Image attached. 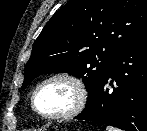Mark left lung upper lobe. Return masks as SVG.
<instances>
[{
  "instance_id": "1",
  "label": "left lung upper lobe",
  "mask_w": 147,
  "mask_h": 131,
  "mask_svg": "<svg viewBox=\"0 0 147 131\" xmlns=\"http://www.w3.org/2000/svg\"><path fill=\"white\" fill-rule=\"evenodd\" d=\"M147 34V0H70L47 22L25 66L22 88L41 74L83 82L88 105L115 58Z\"/></svg>"
}]
</instances>
